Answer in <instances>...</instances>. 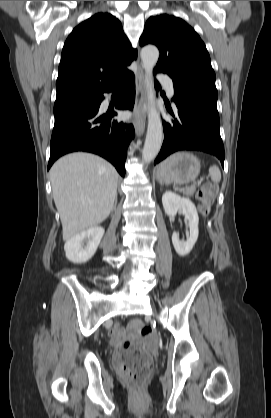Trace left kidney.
Here are the masks:
<instances>
[{
    "label": "left kidney",
    "mask_w": 271,
    "mask_h": 418,
    "mask_svg": "<svg viewBox=\"0 0 271 418\" xmlns=\"http://www.w3.org/2000/svg\"><path fill=\"white\" fill-rule=\"evenodd\" d=\"M162 204L165 213L174 217L178 211H182L188 220L189 233L186 241H180L176 232L172 234V243L179 256H186L190 253L198 239L199 217L194 203L189 198L180 197L171 191H166L162 196Z\"/></svg>",
    "instance_id": "left-kidney-1"
}]
</instances>
